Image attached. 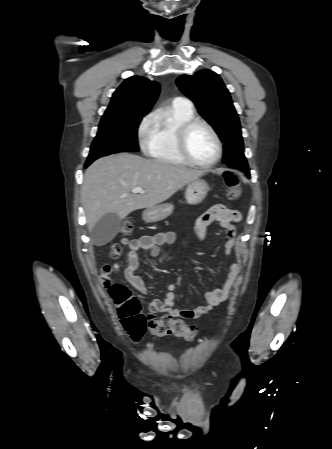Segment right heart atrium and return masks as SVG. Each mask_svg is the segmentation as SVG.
<instances>
[{
  "instance_id": "1",
  "label": "right heart atrium",
  "mask_w": 332,
  "mask_h": 449,
  "mask_svg": "<svg viewBox=\"0 0 332 449\" xmlns=\"http://www.w3.org/2000/svg\"><path fill=\"white\" fill-rule=\"evenodd\" d=\"M154 125H155V116L152 113L145 116L140 122L138 127V136L142 148L147 147L151 135L153 133Z\"/></svg>"
}]
</instances>
